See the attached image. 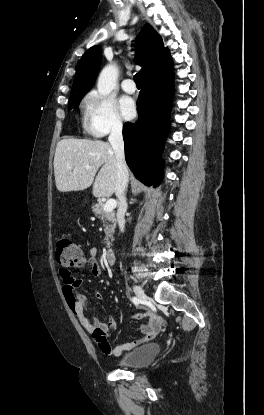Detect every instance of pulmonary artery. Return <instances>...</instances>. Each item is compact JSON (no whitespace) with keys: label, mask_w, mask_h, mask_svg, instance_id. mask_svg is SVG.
<instances>
[{"label":"pulmonary artery","mask_w":264,"mask_h":415,"mask_svg":"<svg viewBox=\"0 0 264 415\" xmlns=\"http://www.w3.org/2000/svg\"><path fill=\"white\" fill-rule=\"evenodd\" d=\"M122 89L126 93L132 94V93L135 92L136 86H135L133 80L130 79V78H128V79L123 80V82H122Z\"/></svg>","instance_id":"1"}]
</instances>
